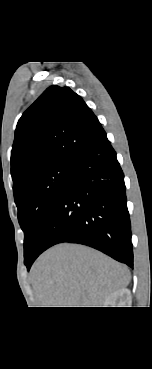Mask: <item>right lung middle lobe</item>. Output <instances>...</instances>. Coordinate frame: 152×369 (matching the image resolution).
Here are the masks:
<instances>
[{"instance_id":"dd1d6c3e","label":"right lung middle lobe","mask_w":152,"mask_h":369,"mask_svg":"<svg viewBox=\"0 0 152 369\" xmlns=\"http://www.w3.org/2000/svg\"><path fill=\"white\" fill-rule=\"evenodd\" d=\"M71 162H56L28 174L14 190L18 220L25 234L24 257L33 254L43 227L64 186Z\"/></svg>"}]
</instances>
